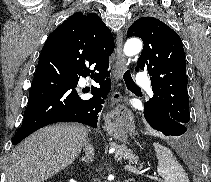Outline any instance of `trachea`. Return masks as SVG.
<instances>
[{
	"label": "trachea",
	"mask_w": 211,
	"mask_h": 182,
	"mask_svg": "<svg viewBox=\"0 0 211 182\" xmlns=\"http://www.w3.org/2000/svg\"><path fill=\"white\" fill-rule=\"evenodd\" d=\"M123 78L125 80V83L128 87H131V88H136V89H140L133 81L132 77H131V74L129 72V70H127L124 75H123Z\"/></svg>",
	"instance_id": "1"
}]
</instances>
